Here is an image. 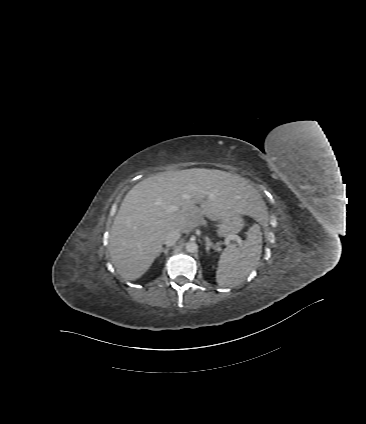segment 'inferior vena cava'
<instances>
[{
    "label": "inferior vena cava",
    "instance_id": "obj_1",
    "mask_svg": "<svg viewBox=\"0 0 366 424\" xmlns=\"http://www.w3.org/2000/svg\"><path fill=\"white\" fill-rule=\"evenodd\" d=\"M181 233L178 230H172L164 237L163 243L167 246H173L179 240Z\"/></svg>",
    "mask_w": 366,
    "mask_h": 424
}]
</instances>
